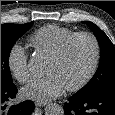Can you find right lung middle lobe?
<instances>
[{
    "label": "right lung middle lobe",
    "mask_w": 115,
    "mask_h": 115,
    "mask_svg": "<svg viewBox=\"0 0 115 115\" xmlns=\"http://www.w3.org/2000/svg\"><path fill=\"white\" fill-rule=\"evenodd\" d=\"M33 22L1 25V87L14 85L9 68V55L14 43L26 33Z\"/></svg>",
    "instance_id": "obj_1"
}]
</instances>
